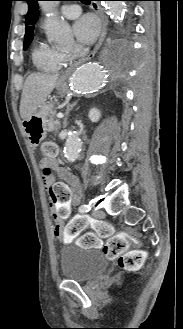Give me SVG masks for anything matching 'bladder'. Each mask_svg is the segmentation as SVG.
I'll return each instance as SVG.
<instances>
[{
	"mask_svg": "<svg viewBox=\"0 0 183 329\" xmlns=\"http://www.w3.org/2000/svg\"><path fill=\"white\" fill-rule=\"evenodd\" d=\"M61 274L65 279L85 282L108 267V260L96 247H78L74 243L59 250Z\"/></svg>",
	"mask_w": 183,
	"mask_h": 329,
	"instance_id": "bladder-1",
	"label": "bladder"
}]
</instances>
